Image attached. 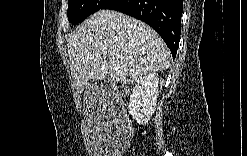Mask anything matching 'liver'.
Returning <instances> with one entry per match:
<instances>
[{"mask_svg": "<svg viewBox=\"0 0 247 156\" xmlns=\"http://www.w3.org/2000/svg\"><path fill=\"white\" fill-rule=\"evenodd\" d=\"M72 77L80 89L108 75L130 84L147 73L170 66L171 53L162 38L145 23L114 10L87 18L67 38Z\"/></svg>", "mask_w": 247, "mask_h": 156, "instance_id": "obj_1", "label": "liver"}]
</instances>
